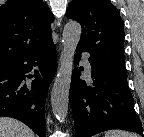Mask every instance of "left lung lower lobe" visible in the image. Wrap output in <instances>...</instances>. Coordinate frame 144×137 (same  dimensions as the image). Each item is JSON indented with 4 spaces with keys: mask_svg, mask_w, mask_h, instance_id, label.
<instances>
[{
    "mask_svg": "<svg viewBox=\"0 0 144 137\" xmlns=\"http://www.w3.org/2000/svg\"><path fill=\"white\" fill-rule=\"evenodd\" d=\"M85 52L77 47L74 65ZM93 85L80 79L82 67H74L69 100L75 119L76 137H90L110 129H123L143 135L141 121L127 84V72L110 63L89 58Z\"/></svg>",
    "mask_w": 144,
    "mask_h": 137,
    "instance_id": "0a47b994",
    "label": "left lung lower lobe"
}]
</instances>
